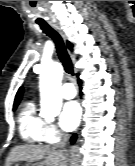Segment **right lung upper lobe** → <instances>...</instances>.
I'll list each match as a JSON object with an SVG mask.
<instances>
[{
	"label": "right lung upper lobe",
	"mask_w": 135,
	"mask_h": 166,
	"mask_svg": "<svg viewBox=\"0 0 135 166\" xmlns=\"http://www.w3.org/2000/svg\"><path fill=\"white\" fill-rule=\"evenodd\" d=\"M67 45H68V48L70 50L73 49V45L70 42H67ZM22 94H23V88L20 87L17 94H16V96H15L14 105H18L20 103V100L22 98Z\"/></svg>",
	"instance_id": "right-lung-upper-lobe-1"
}]
</instances>
